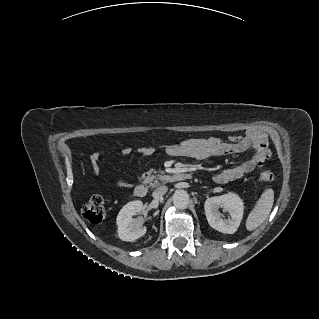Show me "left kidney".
I'll return each mask as SVG.
<instances>
[{
	"label": "left kidney",
	"mask_w": 319,
	"mask_h": 319,
	"mask_svg": "<svg viewBox=\"0 0 319 319\" xmlns=\"http://www.w3.org/2000/svg\"><path fill=\"white\" fill-rule=\"evenodd\" d=\"M220 208L229 213L228 219L222 218ZM204 209L207 221L212 228L221 233L233 234L237 231L243 218L244 206L237 194L229 192L208 198L204 203Z\"/></svg>",
	"instance_id": "5707ae66"
}]
</instances>
